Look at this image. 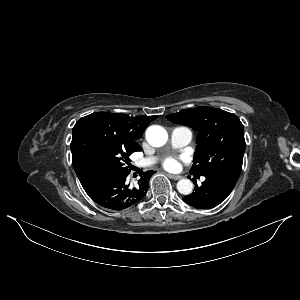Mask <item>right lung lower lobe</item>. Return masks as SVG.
<instances>
[{"label":"right lung lower lobe","instance_id":"1","mask_svg":"<svg viewBox=\"0 0 300 300\" xmlns=\"http://www.w3.org/2000/svg\"><path fill=\"white\" fill-rule=\"evenodd\" d=\"M129 173L130 170L120 171L109 165H98L77 176L94 202L118 211L138 203L145 196L149 180L155 172H143L135 185L128 181Z\"/></svg>","mask_w":300,"mask_h":300}]
</instances>
